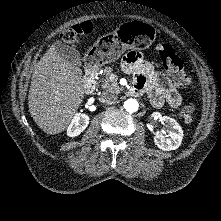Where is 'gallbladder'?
Here are the masks:
<instances>
[{
  "label": "gallbladder",
  "mask_w": 221,
  "mask_h": 221,
  "mask_svg": "<svg viewBox=\"0 0 221 221\" xmlns=\"http://www.w3.org/2000/svg\"><path fill=\"white\" fill-rule=\"evenodd\" d=\"M56 53L69 61L71 64L81 66V56L78 50L74 47L67 45L62 41H56L54 43Z\"/></svg>",
  "instance_id": "1"
}]
</instances>
